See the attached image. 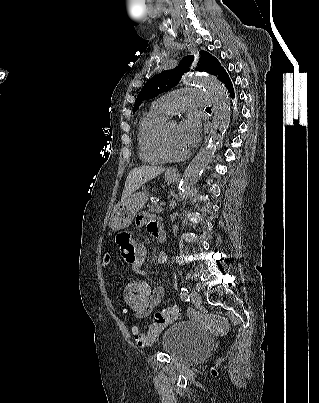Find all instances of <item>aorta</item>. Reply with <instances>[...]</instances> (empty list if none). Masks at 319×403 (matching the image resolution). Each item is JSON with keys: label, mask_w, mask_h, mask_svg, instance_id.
<instances>
[{"label": "aorta", "mask_w": 319, "mask_h": 403, "mask_svg": "<svg viewBox=\"0 0 319 403\" xmlns=\"http://www.w3.org/2000/svg\"><path fill=\"white\" fill-rule=\"evenodd\" d=\"M189 86L204 88L211 97L214 109V130L208 144L200 150L185 170L180 193L186 194L197 182L200 174L210 162L218 145L222 142L230 122V99L225 86L214 76H192L184 80Z\"/></svg>", "instance_id": "1"}]
</instances>
